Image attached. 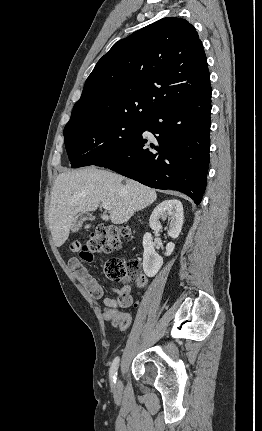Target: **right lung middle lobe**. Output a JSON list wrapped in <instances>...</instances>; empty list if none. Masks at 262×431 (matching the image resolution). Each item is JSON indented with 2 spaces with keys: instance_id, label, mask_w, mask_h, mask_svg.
Listing matches in <instances>:
<instances>
[{
  "instance_id": "dd1d6c3e",
  "label": "right lung middle lobe",
  "mask_w": 262,
  "mask_h": 431,
  "mask_svg": "<svg viewBox=\"0 0 262 431\" xmlns=\"http://www.w3.org/2000/svg\"><path fill=\"white\" fill-rule=\"evenodd\" d=\"M144 122L145 118L115 117L66 126L65 147L71 167L94 165L107 158L129 142Z\"/></svg>"
}]
</instances>
